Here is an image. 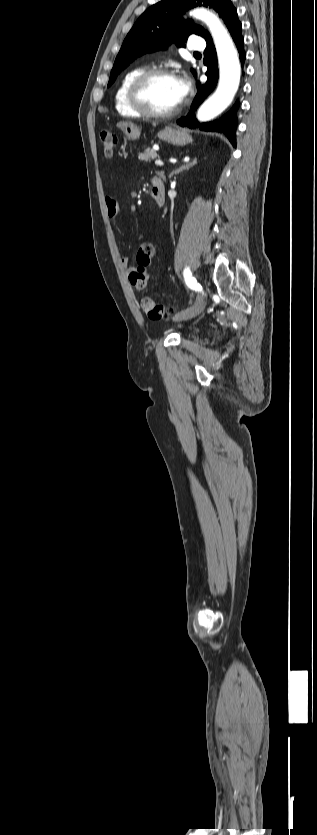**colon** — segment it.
Returning <instances> with one entry per match:
<instances>
[{
    "label": "colon",
    "mask_w": 317,
    "mask_h": 835,
    "mask_svg": "<svg viewBox=\"0 0 317 835\" xmlns=\"http://www.w3.org/2000/svg\"><path fill=\"white\" fill-rule=\"evenodd\" d=\"M100 140L103 152L106 156H111L117 145L116 135L108 130H103L100 133ZM155 255V250L151 249L148 260H141L138 266L129 273V281L134 291L141 293L145 291L148 285V270L147 267ZM140 306L145 314L151 320H160L169 314V309L164 305L155 303L150 297H143L140 301Z\"/></svg>",
    "instance_id": "5ec220e1"
}]
</instances>
